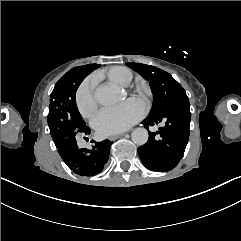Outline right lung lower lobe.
<instances>
[{
    "mask_svg": "<svg viewBox=\"0 0 241 241\" xmlns=\"http://www.w3.org/2000/svg\"><path fill=\"white\" fill-rule=\"evenodd\" d=\"M91 68L84 70V78ZM83 78V79H84ZM90 134V128L84 132ZM111 143L108 140L95 142L92 149L79 148L76 140L64 142L58 146V152L66 165L80 176H94L100 173L109 159Z\"/></svg>",
    "mask_w": 241,
    "mask_h": 241,
    "instance_id": "98d812e1",
    "label": "right lung lower lobe"
}]
</instances>
